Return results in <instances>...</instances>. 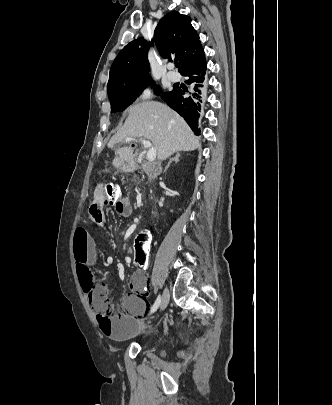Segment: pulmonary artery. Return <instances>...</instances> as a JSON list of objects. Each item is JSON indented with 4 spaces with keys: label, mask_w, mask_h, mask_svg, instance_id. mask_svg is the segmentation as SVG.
Listing matches in <instances>:
<instances>
[{
    "label": "pulmonary artery",
    "mask_w": 332,
    "mask_h": 405,
    "mask_svg": "<svg viewBox=\"0 0 332 405\" xmlns=\"http://www.w3.org/2000/svg\"><path fill=\"white\" fill-rule=\"evenodd\" d=\"M171 67H172V66H170V68H171ZM167 78H168L170 81L176 82V81L179 80V75H178L176 72H174V71H168V72H167Z\"/></svg>",
    "instance_id": "1"
}]
</instances>
